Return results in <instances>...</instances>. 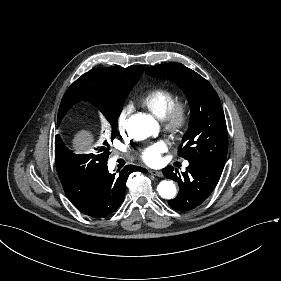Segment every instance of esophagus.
Here are the masks:
<instances>
[{
	"label": "esophagus",
	"mask_w": 281,
	"mask_h": 281,
	"mask_svg": "<svg viewBox=\"0 0 281 281\" xmlns=\"http://www.w3.org/2000/svg\"><path fill=\"white\" fill-rule=\"evenodd\" d=\"M149 173L154 176L163 177V173L159 170H150Z\"/></svg>",
	"instance_id": "obj_1"
}]
</instances>
